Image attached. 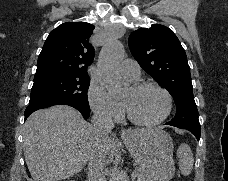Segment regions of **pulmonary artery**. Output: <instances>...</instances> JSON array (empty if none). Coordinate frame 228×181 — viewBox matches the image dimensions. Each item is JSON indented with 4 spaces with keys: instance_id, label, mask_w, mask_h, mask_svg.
Masks as SVG:
<instances>
[{
    "instance_id": "1",
    "label": "pulmonary artery",
    "mask_w": 228,
    "mask_h": 181,
    "mask_svg": "<svg viewBox=\"0 0 228 181\" xmlns=\"http://www.w3.org/2000/svg\"><path fill=\"white\" fill-rule=\"evenodd\" d=\"M138 66V62H127L126 65H123L124 75H127L131 79H137L139 77V74L136 73ZM120 70L122 69L120 68Z\"/></svg>"
}]
</instances>
